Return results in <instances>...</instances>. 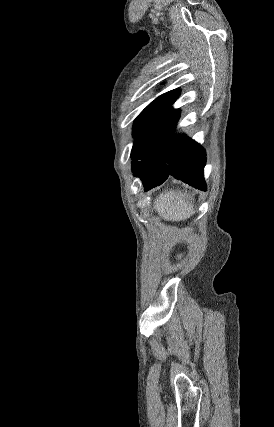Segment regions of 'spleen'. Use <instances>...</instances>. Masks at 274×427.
<instances>
[{"mask_svg": "<svg viewBox=\"0 0 274 427\" xmlns=\"http://www.w3.org/2000/svg\"><path fill=\"white\" fill-rule=\"evenodd\" d=\"M154 210L167 221H180L194 214L190 198L182 192H163L155 200Z\"/></svg>", "mask_w": 274, "mask_h": 427, "instance_id": "3e777b00", "label": "spleen"}]
</instances>
